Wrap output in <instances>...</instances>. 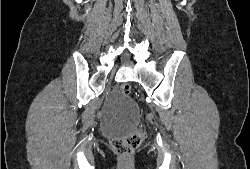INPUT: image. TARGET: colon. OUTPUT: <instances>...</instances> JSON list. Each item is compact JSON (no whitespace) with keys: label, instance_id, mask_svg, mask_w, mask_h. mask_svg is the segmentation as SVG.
Wrapping results in <instances>:
<instances>
[{"label":"colon","instance_id":"1","mask_svg":"<svg viewBox=\"0 0 250 169\" xmlns=\"http://www.w3.org/2000/svg\"><path fill=\"white\" fill-rule=\"evenodd\" d=\"M121 92L124 95H129L133 88L129 85L123 84L121 86ZM145 139V130L143 126H138V130L132 134H121V137L111 138L109 145L111 150H115L117 155L122 157V161H119L118 169H135V164H133L134 150L143 143Z\"/></svg>","mask_w":250,"mask_h":169}]
</instances>
